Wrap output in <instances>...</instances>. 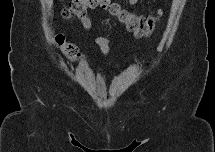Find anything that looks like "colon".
<instances>
[{
    "label": "colon",
    "mask_w": 215,
    "mask_h": 152,
    "mask_svg": "<svg viewBox=\"0 0 215 152\" xmlns=\"http://www.w3.org/2000/svg\"><path fill=\"white\" fill-rule=\"evenodd\" d=\"M96 9L108 12L137 37L150 35L157 24L156 17L134 14L112 0H75L63 9L62 15L64 18L82 17L88 10ZM57 45L69 62L75 63L78 60V49L62 35H58Z\"/></svg>",
    "instance_id": "obj_1"
}]
</instances>
